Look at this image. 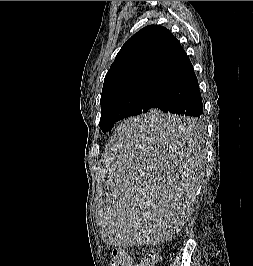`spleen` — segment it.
Returning a JSON list of instances; mask_svg holds the SVG:
<instances>
[{
  "label": "spleen",
  "mask_w": 253,
  "mask_h": 266,
  "mask_svg": "<svg viewBox=\"0 0 253 266\" xmlns=\"http://www.w3.org/2000/svg\"><path fill=\"white\" fill-rule=\"evenodd\" d=\"M128 117L111 135L107 169L109 207H100L107 248H165L186 229L187 211L201 165L199 123L179 111H146Z\"/></svg>",
  "instance_id": "obj_1"
}]
</instances>
